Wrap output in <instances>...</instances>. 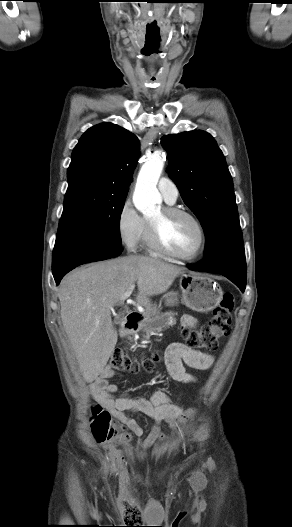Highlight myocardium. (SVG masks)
Instances as JSON below:
<instances>
[{"label":"myocardium","mask_w":292,"mask_h":527,"mask_svg":"<svg viewBox=\"0 0 292 527\" xmlns=\"http://www.w3.org/2000/svg\"><path fill=\"white\" fill-rule=\"evenodd\" d=\"M162 213L164 217L173 216H186L190 218L198 228L199 231V244L195 251L189 255H181L170 250L163 242L160 224L158 222L147 220L149 242L153 250L167 256L169 258L179 261H193L203 254L207 244V234L202 221L191 211L175 207V206H164L162 207Z\"/></svg>","instance_id":"myocardium-1"}]
</instances>
